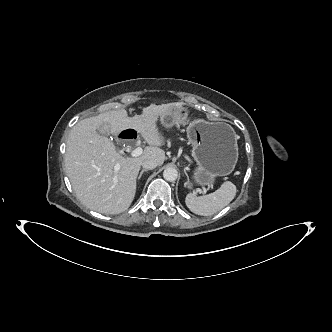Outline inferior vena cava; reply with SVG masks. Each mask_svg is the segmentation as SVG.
Segmentation results:
<instances>
[{
    "instance_id": "602c4592",
    "label": "inferior vena cava",
    "mask_w": 332,
    "mask_h": 332,
    "mask_svg": "<svg viewBox=\"0 0 332 332\" xmlns=\"http://www.w3.org/2000/svg\"><path fill=\"white\" fill-rule=\"evenodd\" d=\"M157 165H158L157 162L152 159H147L142 162V167L147 170L155 169L157 167Z\"/></svg>"
}]
</instances>
